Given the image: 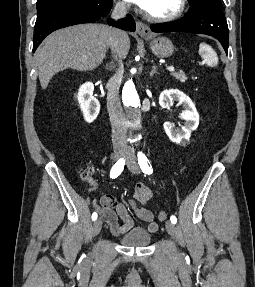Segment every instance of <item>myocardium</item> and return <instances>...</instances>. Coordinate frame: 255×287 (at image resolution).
<instances>
[{"instance_id":"1","label":"myocardium","mask_w":255,"mask_h":287,"mask_svg":"<svg viewBox=\"0 0 255 287\" xmlns=\"http://www.w3.org/2000/svg\"><path fill=\"white\" fill-rule=\"evenodd\" d=\"M143 33H150V32H143ZM165 33H174V32H165ZM132 39H135V38H132ZM141 39H153V38H141ZM161 39H174V38H161ZM143 48H154V47H143ZM171 48H173V47H171Z\"/></svg>"}]
</instances>
